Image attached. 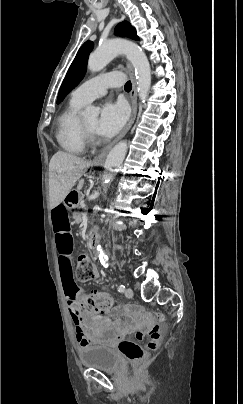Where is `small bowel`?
<instances>
[{
	"instance_id": "obj_1",
	"label": "small bowel",
	"mask_w": 243,
	"mask_h": 404,
	"mask_svg": "<svg viewBox=\"0 0 243 404\" xmlns=\"http://www.w3.org/2000/svg\"><path fill=\"white\" fill-rule=\"evenodd\" d=\"M51 223L58 251L59 269L63 289L68 299L69 314L75 325L76 339L79 346L114 345L127 331V326L120 321H112L109 316L101 317L80 311L75 298L78 293L73 274L72 236L67 207L59 203L51 210ZM113 329V334L108 331Z\"/></svg>"
}]
</instances>
